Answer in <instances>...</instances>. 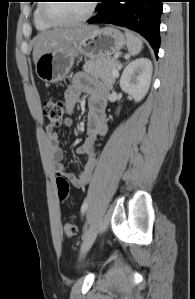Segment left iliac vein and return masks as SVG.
Wrapping results in <instances>:
<instances>
[{
  "label": "left iliac vein",
  "instance_id": "1",
  "mask_svg": "<svg viewBox=\"0 0 195 299\" xmlns=\"http://www.w3.org/2000/svg\"><path fill=\"white\" fill-rule=\"evenodd\" d=\"M97 235V231L95 227H91L83 236V243L81 246L80 254L81 256H85L86 253L89 251L91 248L95 238Z\"/></svg>",
  "mask_w": 195,
  "mask_h": 299
}]
</instances>
